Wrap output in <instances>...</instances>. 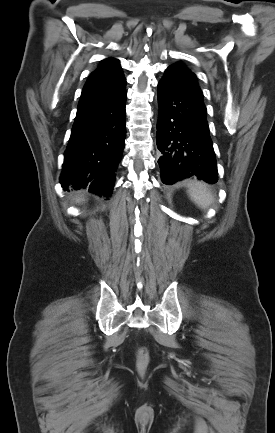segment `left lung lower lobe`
I'll return each instance as SVG.
<instances>
[{
	"mask_svg": "<svg viewBox=\"0 0 275 433\" xmlns=\"http://www.w3.org/2000/svg\"><path fill=\"white\" fill-rule=\"evenodd\" d=\"M158 101L156 142L162 182L172 185L197 177L216 183L218 171L203 97L163 77L158 83Z\"/></svg>",
	"mask_w": 275,
	"mask_h": 433,
	"instance_id": "left-lung-lower-lobe-1",
	"label": "left lung lower lobe"
}]
</instances>
